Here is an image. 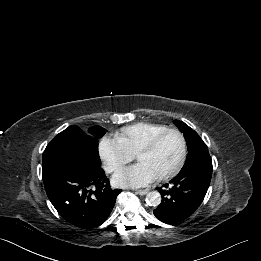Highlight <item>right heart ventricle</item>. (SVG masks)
Returning <instances> with one entry per match:
<instances>
[{"label": "right heart ventricle", "instance_id": "1", "mask_svg": "<svg viewBox=\"0 0 261 261\" xmlns=\"http://www.w3.org/2000/svg\"><path fill=\"white\" fill-rule=\"evenodd\" d=\"M165 129L167 127L164 125L139 122L120 129L115 133V138L130 154H135L154 135Z\"/></svg>", "mask_w": 261, "mask_h": 261}]
</instances>
